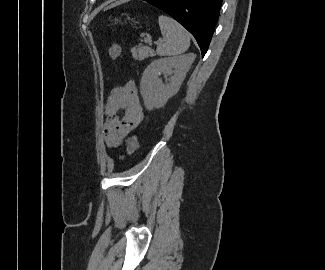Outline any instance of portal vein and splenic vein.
Wrapping results in <instances>:
<instances>
[{"label":"portal vein and splenic vein","instance_id":"portal-vein-and-splenic-vein-1","mask_svg":"<svg viewBox=\"0 0 325 270\" xmlns=\"http://www.w3.org/2000/svg\"><path fill=\"white\" fill-rule=\"evenodd\" d=\"M162 41H163L162 39H159L158 41H156V44H159ZM145 43H148L149 45H151L152 44L151 39L150 38H145Z\"/></svg>","mask_w":325,"mask_h":270}]
</instances>
